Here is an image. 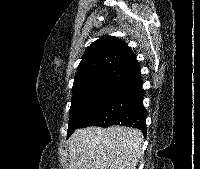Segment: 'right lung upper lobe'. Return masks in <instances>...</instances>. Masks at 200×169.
Masks as SVG:
<instances>
[{
    "mask_svg": "<svg viewBox=\"0 0 200 169\" xmlns=\"http://www.w3.org/2000/svg\"><path fill=\"white\" fill-rule=\"evenodd\" d=\"M140 75L132 50L117 37L104 36L85 51L73 84V94L90 86L124 80Z\"/></svg>",
    "mask_w": 200,
    "mask_h": 169,
    "instance_id": "cb5924a9",
    "label": "right lung upper lobe"
}]
</instances>
